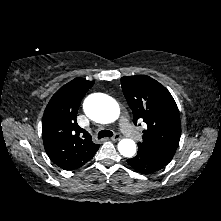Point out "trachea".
<instances>
[{
	"mask_svg": "<svg viewBox=\"0 0 221 221\" xmlns=\"http://www.w3.org/2000/svg\"><path fill=\"white\" fill-rule=\"evenodd\" d=\"M113 136V132L109 131V130H101L98 133V139L104 138V137H111Z\"/></svg>",
	"mask_w": 221,
	"mask_h": 221,
	"instance_id": "1",
	"label": "trachea"
}]
</instances>
